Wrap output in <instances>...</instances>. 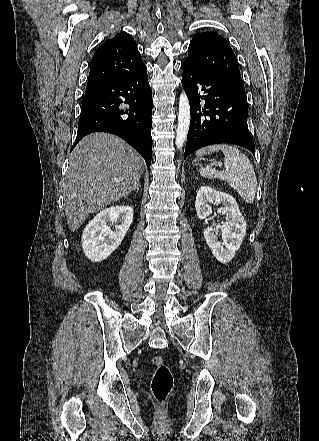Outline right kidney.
<instances>
[{
    "mask_svg": "<svg viewBox=\"0 0 319 441\" xmlns=\"http://www.w3.org/2000/svg\"><path fill=\"white\" fill-rule=\"evenodd\" d=\"M133 218L129 205L112 206L97 214L85 227L82 234V248L87 258L100 262L108 258L121 244ZM115 222L112 231L110 223Z\"/></svg>",
    "mask_w": 319,
    "mask_h": 441,
    "instance_id": "obj_1",
    "label": "right kidney"
}]
</instances>
